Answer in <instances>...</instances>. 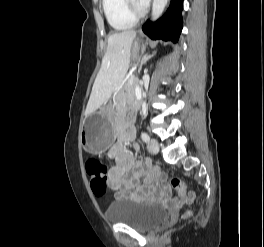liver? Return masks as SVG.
Masks as SVG:
<instances>
[{"label": "liver", "instance_id": "1", "mask_svg": "<svg viewBox=\"0 0 264 247\" xmlns=\"http://www.w3.org/2000/svg\"><path fill=\"white\" fill-rule=\"evenodd\" d=\"M136 34V31L128 30L109 35L107 51L92 88L86 115L100 108L125 77L130 65L131 46Z\"/></svg>", "mask_w": 264, "mask_h": 247}]
</instances>
